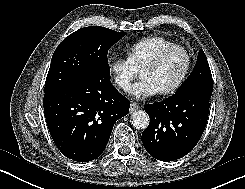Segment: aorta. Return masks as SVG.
<instances>
[{
	"label": "aorta",
	"instance_id": "obj_1",
	"mask_svg": "<svg viewBox=\"0 0 245 189\" xmlns=\"http://www.w3.org/2000/svg\"><path fill=\"white\" fill-rule=\"evenodd\" d=\"M132 125L136 129H146L149 125V116L145 111L138 110L131 115Z\"/></svg>",
	"mask_w": 245,
	"mask_h": 189
}]
</instances>
